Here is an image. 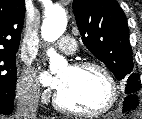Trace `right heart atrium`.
<instances>
[{
    "instance_id": "obj_1",
    "label": "right heart atrium",
    "mask_w": 142,
    "mask_h": 119,
    "mask_svg": "<svg viewBox=\"0 0 142 119\" xmlns=\"http://www.w3.org/2000/svg\"><path fill=\"white\" fill-rule=\"evenodd\" d=\"M16 89L21 98L32 102L38 100L40 91L33 70L28 68L22 72L17 80Z\"/></svg>"
}]
</instances>
